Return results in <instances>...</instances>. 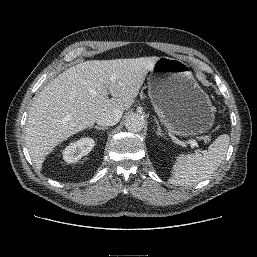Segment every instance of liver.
I'll return each mask as SVG.
<instances>
[{
    "label": "liver",
    "instance_id": "1",
    "mask_svg": "<svg viewBox=\"0 0 257 257\" xmlns=\"http://www.w3.org/2000/svg\"><path fill=\"white\" fill-rule=\"evenodd\" d=\"M158 59L85 61L45 86L32 103L25 131L26 145L37 169L59 143L91 127L102 112L130 108Z\"/></svg>",
    "mask_w": 257,
    "mask_h": 257
}]
</instances>
